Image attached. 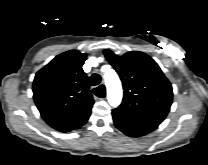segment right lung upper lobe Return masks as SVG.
Instances as JSON below:
<instances>
[{
    "instance_id": "1",
    "label": "right lung upper lobe",
    "mask_w": 208,
    "mask_h": 165,
    "mask_svg": "<svg viewBox=\"0 0 208 165\" xmlns=\"http://www.w3.org/2000/svg\"><path fill=\"white\" fill-rule=\"evenodd\" d=\"M87 54L70 50L40 69L33 81V98L45 122L60 132L84 125L94 104L82 66Z\"/></svg>"
}]
</instances>
